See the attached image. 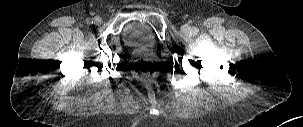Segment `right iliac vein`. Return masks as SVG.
<instances>
[{"label": "right iliac vein", "mask_w": 303, "mask_h": 127, "mask_svg": "<svg viewBox=\"0 0 303 127\" xmlns=\"http://www.w3.org/2000/svg\"><path fill=\"white\" fill-rule=\"evenodd\" d=\"M93 22H94V24H96V25H101L102 19H101V17L96 16V17L93 18Z\"/></svg>", "instance_id": "63e3f726"}]
</instances>
